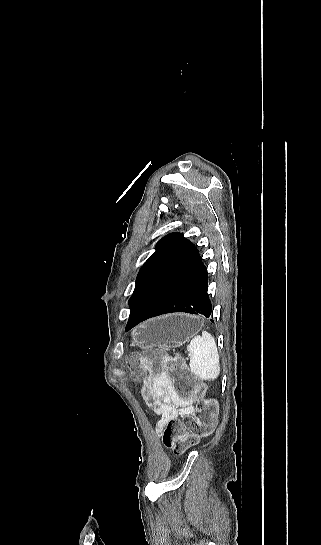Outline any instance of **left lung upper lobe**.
<instances>
[{
    "label": "left lung upper lobe",
    "instance_id": "left-lung-upper-lobe-1",
    "mask_svg": "<svg viewBox=\"0 0 321 545\" xmlns=\"http://www.w3.org/2000/svg\"><path fill=\"white\" fill-rule=\"evenodd\" d=\"M179 236L180 233H171L158 241L155 246V252L147 259L137 275L135 290L129 299L130 308L133 306L148 281L166 260Z\"/></svg>",
    "mask_w": 321,
    "mask_h": 545
}]
</instances>
